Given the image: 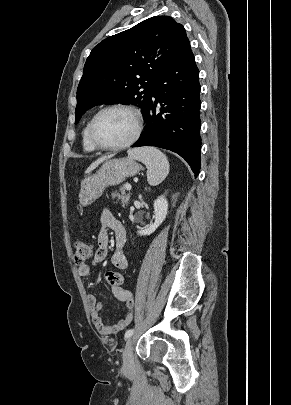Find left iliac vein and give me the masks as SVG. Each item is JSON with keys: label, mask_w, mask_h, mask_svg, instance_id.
Wrapping results in <instances>:
<instances>
[{"label": "left iliac vein", "mask_w": 291, "mask_h": 405, "mask_svg": "<svg viewBox=\"0 0 291 405\" xmlns=\"http://www.w3.org/2000/svg\"><path fill=\"white\" fill-rule=\"evenodd\" d=\"M134 361H133V347H132V339L129 338L124 346L123 349V368L124 370H131L133 368Z\"/></svg>", "instance_id": "obj_1"}]
</instances>
